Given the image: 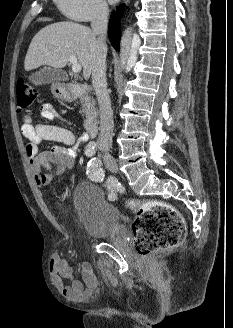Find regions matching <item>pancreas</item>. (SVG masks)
<instances>
[{
    "mask_svg": "<svg viewBox=\"0 0 233 328\" xmlns=\"http://www.w3.org/2000/svg\"><path fill=\"white\" fill-rule=\"evenodd\" d=\"M80 103L82 106V116L86 118L95 117L97 114V110L95 107V101L90 95H81L80 96Z\"/></svg>",
    "mask_w": 233,
    "mask_h": 328,
    "instance_id": "obj_1",
    "label": "pancreas"
}]
</instances>
